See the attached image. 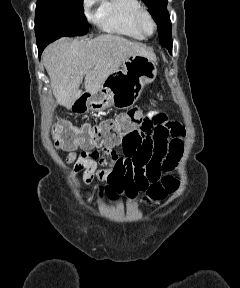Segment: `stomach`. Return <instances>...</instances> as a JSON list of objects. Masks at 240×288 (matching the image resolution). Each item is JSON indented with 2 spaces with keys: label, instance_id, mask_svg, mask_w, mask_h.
Segmentation results:
<instances>
[{
  "label": "stomach",
  "instance_id": "1",
  "mask_svg": "<svg viewBox=\"0 0 240 288\" xmlns=\"http://www.w3.org/2000/svg\"><path fill=\"white\" fill-rule=\"evenodd\" d=\"M156 75V58L131 55L123 61L120 70L106 79L99 94L90 97L88 107L92 111H103L109 107H130L140 97L144 86L154 81Z\"/></svg>",
  "mask_w": 240,
  "mask_h": 288
}]
</instances>
